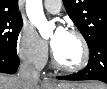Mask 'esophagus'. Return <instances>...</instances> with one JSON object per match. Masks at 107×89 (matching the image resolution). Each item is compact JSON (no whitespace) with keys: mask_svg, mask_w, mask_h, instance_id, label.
Returning <instances> with one entry per match:
<instances>
[{"mask_svg":"<svg viewBox=\"0 0 107 89\" xmlns=\"http://www.w3.org/2000/svg\"><path fill=\"white\" fill-rule=\"evenodd\" d=\"M44 85H50V84H53V81L52 79L48 78V77H45L43 79V82H42Z\"/></svg>","mask_w":107,"mask_h":89,"instance_id":"34e87169","label":"esophagus"}]
</instances>
